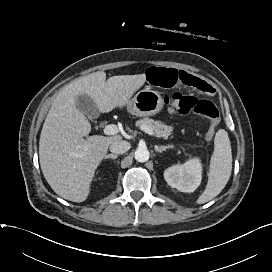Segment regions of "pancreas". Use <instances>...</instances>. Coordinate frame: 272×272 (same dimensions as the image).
<instances>
[{"mask_svg":"<svg viewBox=\"0 0 272 272\" xmlns=\"http://www.w3.org/2000/svg\"><path fill=\"white\" fill-rule=\"evenodd\" d=\"M136 126L143 127L146 126L155 132L156 136L159 138L168 139L172 137L173 127L163 124L160 121H155L149 118H143L136 122Z\"/></svg>","mask_w":272,"mask_h":272,"instance_id":"obj_1","label":"pancreas"}]
</instances>
